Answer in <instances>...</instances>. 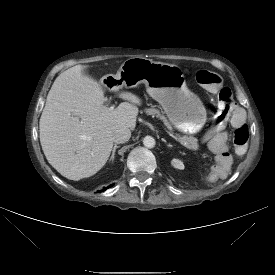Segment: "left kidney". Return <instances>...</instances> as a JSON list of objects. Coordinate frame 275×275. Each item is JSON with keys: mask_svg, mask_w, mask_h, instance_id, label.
I'll list each match as a JSON object with an SVG mask.
<instances>
[{"mask_svg": "<svg viewBox=\"0 0 275 275\" xmlns=\"http://www.w3.org/2000/svg\"><path fill=\"white\" fill-rule=\"evenodd\" d=\"M172 166L177 169H184V164L181 160L173 159L171 162Z\"/></svg>", "mask_w": 275, "mask_h": 275, "instance_id": "1", "label": "left kidney"}]
</instances>
